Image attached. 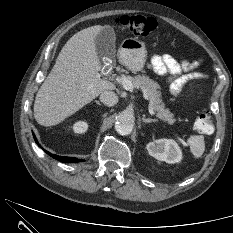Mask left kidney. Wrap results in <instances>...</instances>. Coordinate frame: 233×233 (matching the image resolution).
I'll return each mask as SVG.
<instances>
[{"mask_svg":"<svg viewBox=\"0 0 233 233\" xmlns=\"http://www.w3.org/2000/svg\"><path fill=\"white\" fill-rule=\"evenodd\" d=\"M149 155L169 164L182 160V152L178 144L172 139H159L150 142L146 146Z\"/></svg>","mask_w":233,"mask_h":233,"instance_id":"left-kidney-1","label":"left kidney"}]
</instances>
